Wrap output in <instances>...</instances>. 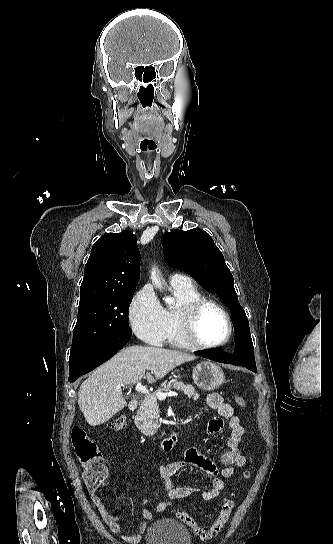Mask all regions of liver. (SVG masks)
<instances>
[{
	"label": "liver",
	"mask_w": 333,
	"mask_h": 544,
	"mask_svg": "<svg viewBox=\"0 0 333 544\" xmlns=\"http://www.w3.org/2000/svg\"><path fill=\"white\" fill-rule=\"evenodd\" d=\"M195 355L158 347L132 346L97 368L80 386L78 405L86 421L97 426L110 420L127 402L117 386L148 383L166 376L173 368L196 359ZM147 372L145 375V372ZM153 374L154 377L151 375Z\"/></svg>",
	"instance_id": "obj_1"
}]
</instances>
